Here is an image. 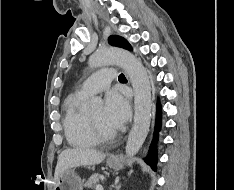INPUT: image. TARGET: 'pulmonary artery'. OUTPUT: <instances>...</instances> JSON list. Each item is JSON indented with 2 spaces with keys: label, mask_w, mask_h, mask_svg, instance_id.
<instances>
[{
  "label": "pulmonary artery",
  "mask_w": 234,
  "mask_h": 190,
  "mask_svg": "<svg viewBox=\"0 0 234 190\" xmlns=\"http://www.w3.org/2000/svg\"><path fill=\"white\" fill-rule=\"evenodd\" d=\"M115 79L114 69L108 66L103 67L98 72L85 80L81 87L80 93L92 95L104 90L111 81Z\"/></svg>",
  "instance_id": "e3ab8cb5"
}]
</instances>
